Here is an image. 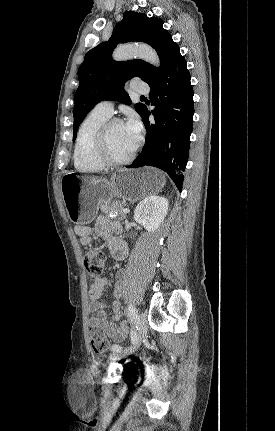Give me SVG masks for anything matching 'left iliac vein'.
Instances as JSON below:
<instances>
[{
    "label": "left iliac vein",
    "mask_w": 275,
    "mask_h": 431,
    "mask_svg": "<svg viewBox=\"0 0 275 431\" xmlns=\"http://www.w3.org/2000/svg\"><path fill=\"white\" fill-rule=\"evenodd\" d=\"M137 342L135 345L126 348V349H122L121 351H112V353L110 354V360L111 361H115V360H119L122 359L124 357H126L127 355L135 352L138 347L141 345L144 337L147 334V321H146V316L144 313L140 312L137 318Z\"/></svg>",
    "instance_id": "4c4485c4"
}]
</instances>
